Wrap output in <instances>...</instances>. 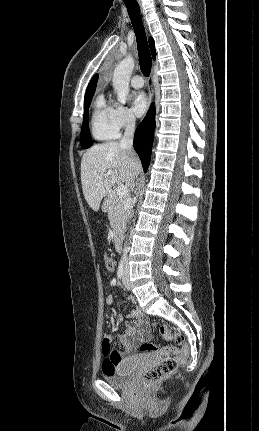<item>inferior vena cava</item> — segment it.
Segmentation results:
<instances>
[{"label":"inferior vena cava","instance_id":"inferior-vena-cava-1","mask_svg":"<svg viewBox=\"0 0 259 431\" xmlns=\"http://www.w3.org/2000/svg\"><path fill=\"white\" fill-rule=\"evenodd\" d=\"M135 132V118L133 116H129L126 120L125 132L123 138L120 141V147L126 149L129 152H132L133 148V137ZM134 187V182L132 184ZM130 215V211H128V216ZM127 248H124L123 259L126 262Z\"/></svg>","mask_w":259,"mask_h":431}]
</instances>
